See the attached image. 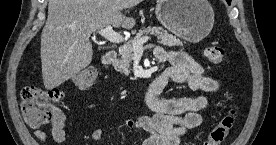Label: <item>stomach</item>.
<instances>
[{
    "label": "stomach",
    "instance_id": "stomach-1",
    "mask_svg": "<svg viewBox=\"0 0 276 145\" xmlns=\"http://www.w3.org/2000/svg\"><path fill=\"white\" fill-rule=\"evenodd\" d=\"M156 17L174 35L197 43L214 25V11L207 0H160Z\"/></svg>",
    "mask_w": 276,
    "mask_h": 145
}]
</instances>
